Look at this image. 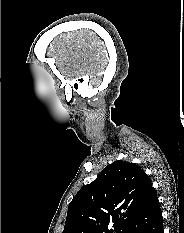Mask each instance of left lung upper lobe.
Instances as JSON below:
<instances>
[{
  "instance_id": "obj_1",
  "label": "left lung upper lobe",
  "mask_w": 184,
  "mask_h": 233,
  "mask_svg": "<svg viewBox=\"0 0 184 233\" xmlns=\"http://www.w3.org/2000/svg\"><path fill=\"white\" fill-rule=\"evenodd\" d=\"M153 190L137 164L115 161L75 195L62 233H128Z\"/></svg>"
}]
</instances>
